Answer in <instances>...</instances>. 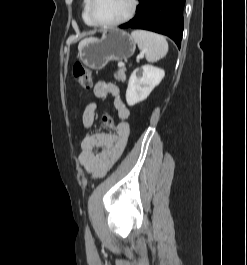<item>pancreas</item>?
<instances>
[{
	"label": "pancreas",
	"instance_id": "1",
	"mask_svg": "<svg viewBox=\"0 0 247 265\" xmlns=\"http://www.w3.org/2000/svg\"><path fill=\"white\" fill-rule=\"evenodd\" d=\"M125 68H120L116 73H115V78L119 82H124L126 80V75H125Z\"/></svg>",
	"mask_w": 247,
	"mask_h": 265
}]
</instances>
